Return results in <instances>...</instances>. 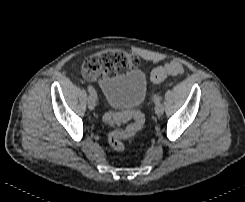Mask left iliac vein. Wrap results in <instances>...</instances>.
<instances>
[{
    "label": "left iliac vein",
    "instance_id": "4c4485c4",
    "mask_svg": "<svg viewBox=\"0 0 245 202\" xmlns=\"http://www.w3.org/2000/svg\"><path fill=\"white\" fill-rule=\"evenodd\" d=\"M164 112V106L162 103H158L156 104L155 106V113L158 115V116H161Z\"/></svg>",
    "mask_w": 245,
    "mask_h": 202
}]
</instances>
